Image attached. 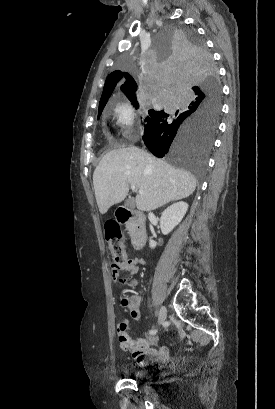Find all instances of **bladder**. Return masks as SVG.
<instances>
[{"label": "bladder", "mask_w": 275, "mask_h": 409, "mask_svg": "<svg viewBox=\"0 0 275 409\" xmlns=\"http://www.w3.org/2000/svg\"><path fill=\"white\" fill-rule=\"evenodd\" d=\"M146 371L143 368L140 367H135L131 369L130 375L133 379H135L137 382H140L142 379H146Z\"/></svg>", "instance_id": "bladder-1"}]
</instances>
